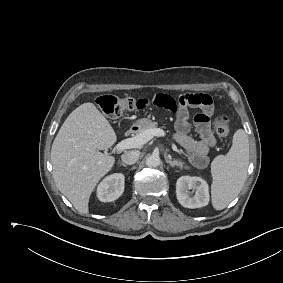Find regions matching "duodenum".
<instances>
[{
	"instance_id": "410a0bca",
	"label": "duodenum",
	"mask_w": 283,
	"mask_h": 283,
	"mask_svg": "<svg viewBox=\"0 0 283 283\" xmlns=\"http://www.w3.org/2000/svg\"><path fill=\"white\" fill-rule=\"evenodd\" d=\"M137 129L138 128L136 126L131 127L129 130H127L126 135L129 136V135L135 133L137 131Z\"/></svg>"
}]
</instances>
